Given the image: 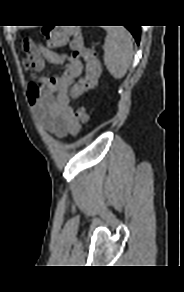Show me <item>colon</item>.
Returning <instances> with one entry per match:
<instances>
[{"mask_svg":"<svg viewBox=\"0 0 184 292\" xmlns=\"http://www.w3.org/2000/svg\"><path fill=\"white\" fill-rule=\"evenodd\" d=\"M43 34L50 48H59L69 43L73 58L82 59L86 64L84 77L70 90L71 97L77 99L83 93L94 89L101 73V66L96 51L85 46L80 27L78 25L48 27L43 29ZM76 117L82 123H88L90 120L89 112L83 107L76 110Z\"/></svg>","mask_w":184,"mask_h":292,"instance_id":"5ec220e1","label":"colon"}]
</instances>
